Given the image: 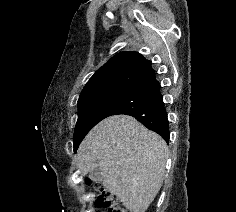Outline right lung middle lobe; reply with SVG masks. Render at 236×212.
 I'll return each instance as SVG.
<instances>
[{
  "instance_id": "right-lung-middle-lobe-1",
  "label": "right lung middle lobe",
  "mask_w": 236,
  "mask_h": 212,
  "mask_svg": "<svg viewBox=\"0 0 236 212\" xmlns=\"http://www.w3.org/2000/svg\"><path fill=\"white\" fill-rule=\"evenodd\" d=\"M130 92V89L117 90L78 101L79 116L74 132V151L77 150L85 135L101 120L111 116Z\"/></svg>"
}]
</instances>
